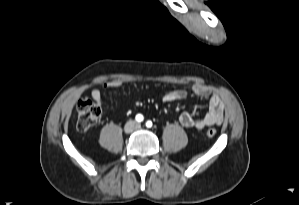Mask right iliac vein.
Segmentation results:
<instances>
[{"mask_svg": "<svg viewBox=\"0 0 299 205\" xmlns=\"http://www.w3.org/2000/svg\"><path fill=\"white\" fill-rule=\"evenodd\" d=\"M135 129V124L134 122H128L125 127H124V131L126 133H131L133 130Z\"/></svg>", "mask_w": 299, "mask_h": 205, "instance_id": "63e3f726", "label": "right iliac vein"}]
</instances>
